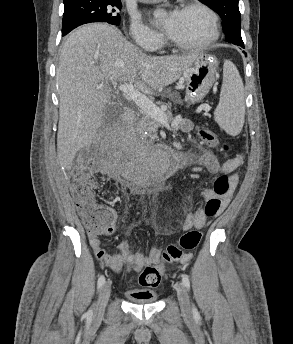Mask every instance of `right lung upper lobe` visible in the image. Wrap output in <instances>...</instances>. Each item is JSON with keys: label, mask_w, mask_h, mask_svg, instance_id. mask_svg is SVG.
<instances>
[{"label": "right lung upper lobe", "mask_w": 293, "mask_h": 344, "mask_svg": "<svg viewBox=\"0 0 293 344\" xmlns=\"http://www.w3.org/2000/svg\"><path fill=\"white\" fill-rule=\"evenodd\" d=\"M74 1H77V0H64V3L67 4V3L74 2Z\"/></svg>", "instance_id": "1"}]
</instances>
